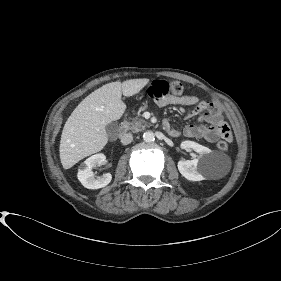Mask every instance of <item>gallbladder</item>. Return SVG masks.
Instances as JSON below:
<instances>
[{
	"label": "gallbladder",
	"mask_w": 281,
	"mask_h": 281,
	"mask_svg": "<svg viewBox=\"0 0 281 281\" xmlns=\"http://www.w3.org/2000/svg\"><path fill=\"white\" fill-rule=\"evenodd\" d=\"M118 131V126L115 123H110L106 126V132L109 136L115 135Z\"/></svg>",
	"instance_id": "1"
}]
</instances>
